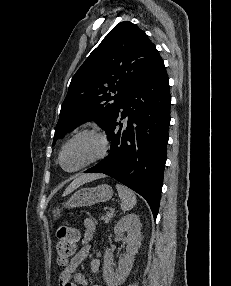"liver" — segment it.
<instances>
[{
  "mask_svg": "<svg viewBox=\"0 0 231 286\" xmlns=\"http://www.w3.org/2000/svg\"><path fill=\"white\" fill-rule=\"evenodd\" d=\"M101 174H86L76 178L64 191L63 196L70 194L72 191L77 189L79 186L96 179L103 178Z\"/></svg>",
  "mask_w": 231,
  "mask_h": 286,
  "instance_id": "1",
  "label": "liver"
}]
</instances>
